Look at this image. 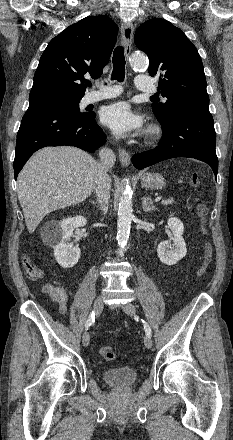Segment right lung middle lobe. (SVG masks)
Returning <instances> with one entry per match:
<instances>
[{"label": "right lung middle lobe", "instance_id": "obj_1", "mask_svg": "<svg viewBox=\"0 0 233 440\" xmlns=\"http://www.w3.org/2000/svg\"><path fill=\"white\" fill-rule=\"evenodd\" d=\"M81 99H57L49 102H45L38 105H44V106H57V107H63L66 109H69L72 112L78 113L80 115H89L91 113H81L79 112V102Z\"/></svg>", "mask_w": 233, "mask_h": 440}]
</instances>
